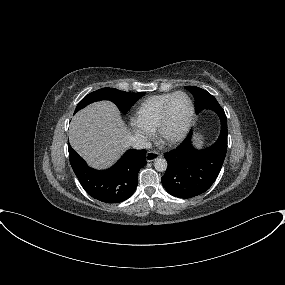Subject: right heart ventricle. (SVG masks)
Wrapping results in <instances>:
<instances>
[{
    "mask_svg": "<svg viewBox=\"0 0 285 285\" xmlns=\"http://www.w3.org/2000/svg\"><path fill=\"white\" fill-rule=\"evenodd\" d=\"M173 94L154 95L143 100L136 108L134 121L150 131L156 129L163 107Z\"/></svg>",
    "mask_w": 285,
    "mask_h": 285,
    "instance_id": "obj_1",
    "label": "right heart ventricle"
}]
</instances>
